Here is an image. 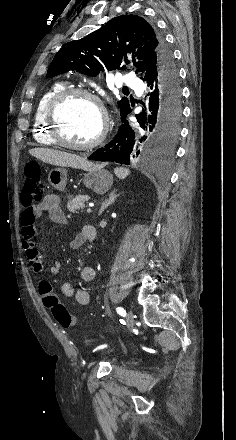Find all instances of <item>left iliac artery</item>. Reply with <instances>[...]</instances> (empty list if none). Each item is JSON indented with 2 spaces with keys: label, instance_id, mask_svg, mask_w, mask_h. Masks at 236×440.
<instances>
[{
  "label": "left iliac artery",
  "instance_id": "1",
  "mask_svg": "<svg viewBox=\"0 0 236 440\" xmlns=\"http://www.w3.org/2000/svg\"><path fill=\"white\" fill-rule=\"evenodd\" d=\"M117 313L120 314L121 316L125 317L126 316V310L122 307H117L116 309ZM107 345H101L99 347H97V349H102L105 348Z\"/></svg>",
  "mask_w": 236,
  "mask_h": 440
}]
</instances>
